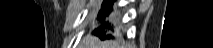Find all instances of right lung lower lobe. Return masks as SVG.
<instances>
[{
  "mask_svg": "<svg viewBox=\"0 0 213 48\" xmlns=\"http://www.w3.org/2000/svg\"><path fill=\"white\" fill-rule=\"evenodd\" d=\"M114 0H104L102 4L101 11L98 14V20L101 22V26L103 28H109L111 29V25L108 26V22H105V17L109 15V13L112 10V5H113ZM96 33L100 36V38H111V35H105V32L102 30H97Z\"/></svg>",
  "mask_w": 213,
  "mask_h": 48,
  "instance_id": "right-lung-lower-lobe-1",
  "label": "right lung lower lobe"
}]
</instances>
